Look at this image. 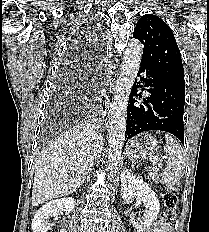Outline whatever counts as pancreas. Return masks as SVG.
Returning a JSON list of instances; mask_svg holds the SVG:
<instances>
[{"label": "pancreas", "instance_id": "pancreas-1", "mask_svg": "<svg viewBox=\"0 0 209 232\" xmlns=\"http://www.w3.org/2000/svg\"><path fill=\"white\" fill-rule=\"evenodd\" d=\"M151 177H152V180L154 182H157L158 180V176H157V173L155 172V170H153L151 173H150Z\"/></svg>", "mask_w": 209, "mask_h": 232}]
</instances>
